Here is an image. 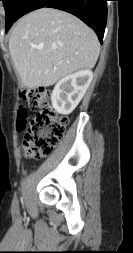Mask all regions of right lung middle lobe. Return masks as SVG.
I'll list each match as a JSON object with an SVG mask.
<instances>
[{"label": "right lung middle lobe", "instance_id": "1", "mask_svg": "<svg viewBox=\"0 0 133 253\" xmlns=\"http://www.w3.org/2000/svg\"><path fill=\"white\" fill-rule=\"evenodd\" d=\"M3 1L5 8L6 32L14 21L17 20L19 9L24 0H0Z\"/></svg>", "mask_w": 133, "mask_h": 253}]
</instances>
